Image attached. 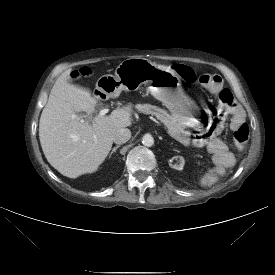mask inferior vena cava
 <instances>
[{
  "label": "inferior vena cava",
  "instance_id": "602c4592",
  "mask_svg": "<svg viewBox=\"0 0 275 275\" xmlns=\"http://www.w3.org/2000/svg\"><path fill=\"white\" fill-rule=\"evenodd\" d=\"M131 138V131L128 128H120L113 135L116 144L126 143Z\"/></svg>",
  "mask_w": 275,
  "mask_h": 275
}]
</instances>
